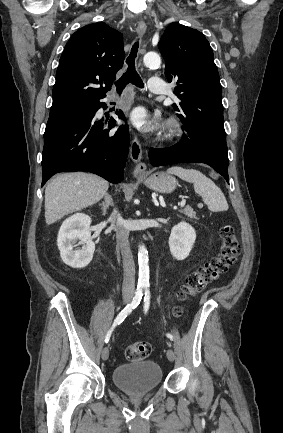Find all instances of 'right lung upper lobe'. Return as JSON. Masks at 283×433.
<instances>
[{"instance_id":"1","label":"right lung upper lobe","mask_w":283,"mask_h":433,"mask_svg":"<svg viewBox=\"0 0 283 433\" xmlns=\"http://www.w3.org/2000/svg\"><path fill=\"white\" fill-rule=\"evenodd\" d=\"M124 58L122 34L104 22L76 31L59 61L50 111L72 108L106 96ZM98 84L100 87H95Z\"/></svg>"}]
</instances>
